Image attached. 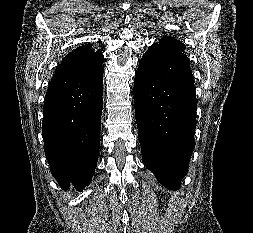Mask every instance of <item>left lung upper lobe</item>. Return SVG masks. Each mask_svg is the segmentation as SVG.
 <instances>
[{
  "label": "left lung upper lobe",
  "mask_w": 253,
  "mask_h": 233,
  "mask_svg": "<svg viewBox=\"0 0 253 233\" xmlns=\"http://www.w3.org/2000/svg\"><path fill=\"white\" fill-rule=\"evenodd\" d=\"M158 44L167 45L169 47L176 48L177 50L182 51V52H184L185 50L183 43L175 39V37H171V36H164L163 38L160 39Z\"/></svg>",
  "instance_id": "left-lung-upper-lobe-1"
}]
</instances>
